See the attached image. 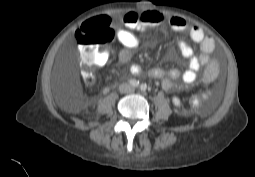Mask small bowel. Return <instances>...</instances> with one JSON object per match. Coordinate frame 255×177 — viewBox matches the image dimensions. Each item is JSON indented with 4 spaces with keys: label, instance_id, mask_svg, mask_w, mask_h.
I'll return each mask as SVG.
<instances>
[{
    "label": "small bowel",
    "instance_id": "1",
    "mask_svg": "<svg viewBox=\"0 0 255 177\" xmlns=\"http://www.w3.org/2000/svg\"><path fill=\"white\" fill-rule=\"evenodd\" d=\"M165 22V17L162 13L145 9L141 12H127L123 16L124 26L117 29V38L123 45V48L118 53V60L120 63H128L132 57L133 52L139 47L140 41L136 34L138 31H145L150 28L161 26ZM169 25L173 31L183 32L187 29V22L181 17H171ZM81 31V27L77 32ZM191 39L198 43L201 53L194 54V50L185 41L179 40L177 42V49L179 54L187 60L188 68L181 72L179 69H163L152 68L148 71V75L152 78L161 79L162 88L166 91L184 90L192 86L198 79V72L201 67L207 65V69L211 70L209 76L206 77V70L203 79L207 82L212 81L218 74L219 62L212 60L210 55L215 49V42L213 38L207 36L203 29L199 26H193L189 30ZM177 52L174 49L170 50L171 56H176ZM109 60V52L106 48H102L96 53L97 66L105 65ZM132 74L139 75L143 72L142 68L133 64L130 67ZM181 79V82H176Z\"/></svg>",
    "mask_w": 255,
    "mask_h": 177
}]
</instances>
